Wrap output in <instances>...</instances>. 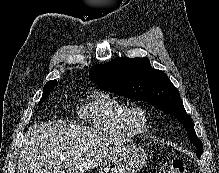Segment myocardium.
Masks as SVG:
<instances>
[{
  "label": "myocardium",
  "mask_w": 219,
  "mask_h": 173,
  "mask_svg": "<svg viewBox=\"0 0 219 173\" xmlns=\"http://www.w3.org/2000/svg\"><path fill=\"white\" fill-rule=\"evenodd\" d=\"M129 120L139 130L144 131L147 128L149 112L142 105H132L129 107Z\"/></svg>",
  "instance_id": "myocardium-1"
}]
</instances>
